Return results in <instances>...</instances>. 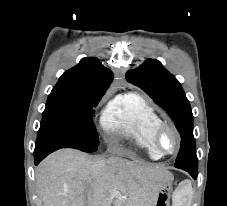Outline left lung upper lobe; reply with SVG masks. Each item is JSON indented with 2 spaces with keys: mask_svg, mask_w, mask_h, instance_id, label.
I'll use <instances>...</instances> for the list:
<instances>
[{
  "mask_svg": "<svg viewBox=\"0 0 227 206\" xmlns=\"http://www.w3.org/2000/svg\"><path fill=\"white\" fill-rule=\"evenodd\" d=\"M126 79L144 90L173 120L181 135V147L175 167H198L193 114L177 79L154 59H148L138 68L128 71Z\"/></svg>",
  "mask_w": 227,
  "mask_h": 206,
  "instance_id": "1",
  "label": "left lung upper lobe"
}]
</instances>
